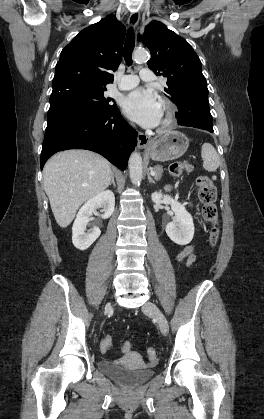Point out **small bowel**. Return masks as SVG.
I'll return each mask as SVG.
<instances>
[{"instance_id":"1","label":"small bowel","mask_w":264,"mask_h":419,"mask_svg":"<svg viewBox=\"0 0 264 419\" xmlns=\"http://www.w3.org/2000/svg\"><path fill=\"white\" fill-rule=\"evenodd\" d=\"M194 248H195L194 244H190V245L185 246L183 248V250L177 255V258H176L177 261L178 262L185 261L187 266H190L191 264H193L196 260V256L194 254ZM124 343H126V342H124ZM124 343L121 346V351L124 354H129L130 350H124L123 349Z\"/></svg>"}]
</instances>
